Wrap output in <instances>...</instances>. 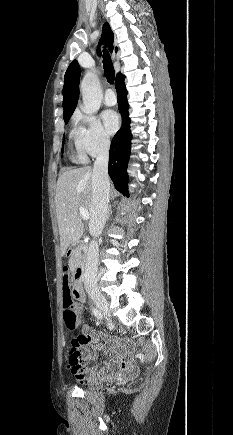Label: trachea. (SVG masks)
Masks as SVG:
<instances>
[{
    "mask_svg": "<svg viewBox=\"0 0 233 435\" xmlns=\"http://www.w3.org/2000/svg\"><path fill=\"white\" fill-rule=\"evenodd\" d=\"M103 68L107 81L112 84L115 80V70L110 55L107 52L104 53Z\"/></svg>",
    "mask_w": 233,
    "mask_h": 435,
    "instance_id": "trachea-1",
    "label": "trachea"
}]
</instances>
